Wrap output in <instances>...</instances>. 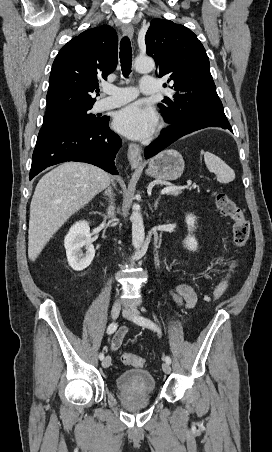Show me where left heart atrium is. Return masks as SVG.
Here are the masks:
<instances>
[{
  "mask_svg": "<svg viewBox=\"0 0 272 452\" xmlns=\"http://www.w3.org/2000/svg\"><path fill=\"white\" fill-rule=\"evenodd\" d=\"M156 122L157 115L152 108L134 103L116 113L113 127L128 138L143 139L152 132Z\"/></svg>",
  "mask_w": 272,
  "mask_h": 452,
  "instance_id": "1",
  "label": "left heart atrium"
}]
</instances>
